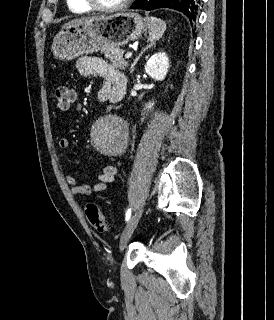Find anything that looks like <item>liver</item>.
<instances>
[{"label": "liver", "mask_w": 274, "mask_h": 320, "mask_svg": "<svg viewBox=\"0 0 274 320\" xmlns=\"http://www.w3.org/2000/svg\"><path fill=\"white\" fill-rule=\"evenodd\" d=\"M101 16H91V18H77V20H71L69 24H65L62 28H66V26H71V24H78V22H83V20H100Z\"/></svg>", "instance_id": "1"}]
</instances>
